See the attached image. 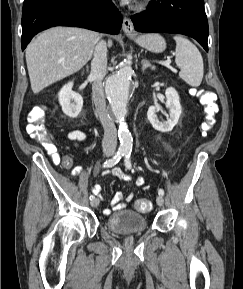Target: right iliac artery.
<instances>
[{"label": "right iliac artery", "instance_id": "82829eb1", "mask_svg": "<svg viewBox=\"0 0 243 289\" xmlns=\"http://www.w3.org/2000/svg\"><path fill=\"white\" fill-rule=\"evenodd\" d=\"M124 154H125L124 151H118L114 157L104 162L103 167L106 168V167H112L116 165L120 161V159L124 156ZM93 198L94 196L90 195V200Z\"/></svg>", "mask_w": 243, "mask_h": 289}]
</instances>
